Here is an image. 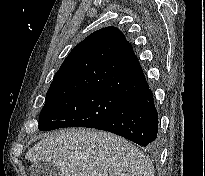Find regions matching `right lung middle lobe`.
I'll list each match as a JSON object with an SVG mask.
<instances>
[{"label":"right lung middle lobe","mask_w":205,"mask_h":176,"mask_svg":"<svg viewBox=\"0 0 205 176\" xmlns=\"http://www.w3.org/2000/svg\"><path fill=\"white\" fill-rule=\"evenodd\" d=\"M126 99L99 90L46 96L39 116V130L49 131L64 127L96 128L112 117Z\"/></svg>","instance_id":"right-lung-middle-lobe-1"}]
</instances>
